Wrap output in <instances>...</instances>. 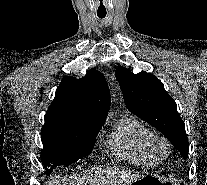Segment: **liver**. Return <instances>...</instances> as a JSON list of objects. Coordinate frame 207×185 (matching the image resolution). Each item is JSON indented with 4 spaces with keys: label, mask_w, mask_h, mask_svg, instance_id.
<instances>
[{
    "label": "liver",
    "mask_w": 207,
    "mask_h": 185,
    "mask_svg": "<svg viewBox=\"0 0 207 185\" xmlns=\"http://www.w3.org/2000/svg\"><path fill=\"white\" fill-rule=\"evenodd\" d=\"M67 185H71L70 181H69V183H67Z\"/></svg>",
    "instance_id": "1"
}]
</instances>
